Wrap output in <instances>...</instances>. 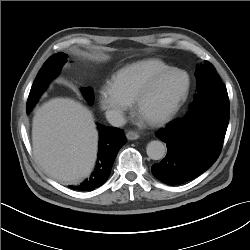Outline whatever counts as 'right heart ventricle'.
<instances>
[{
    "label": "right heart ventricle",
    "mask_w": 250,
    "mask_h": 250,
    "mask_svg": "<svg viewBox=\"0 0 250 250\" xmlns=\"http://www.w3.org/2000/svg\"><path fill=\"white\" fill-rule=\"evenodd\" d=\"M172 66L157 58H147L129 63L111 77V84L120 93L134 100L144 85L158 73Z\"/></svg>",
    "instance_id": "e07e8e85"
}]
</instances>
